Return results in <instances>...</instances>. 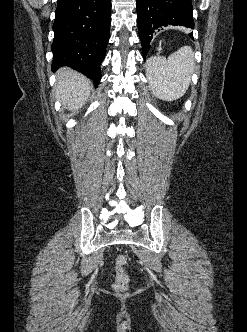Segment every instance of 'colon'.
<instances>
[{
  "mask_svg": "<svg viewBox=\"0 0 247 332\" xmlns=\"http://www.w3.org/2000/svg\"><path fill=\"white\" fill-rule=\"evenodd\" d=\"M126 263L127 259L124 255H119L115 259V279L112 288L118 293H124L129 288V275L125 270Z\"/></svg>",
  "mask_w": 247,
  "mask_h": 332,
  "instance_id": "1",
  "label": "colon"
}]
</instances>
